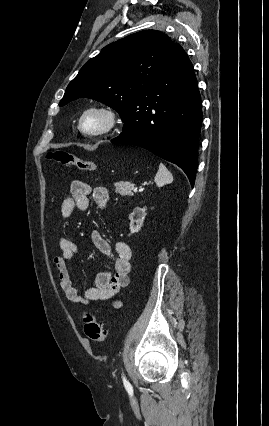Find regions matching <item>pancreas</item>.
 I'll return each mask as SVG.
<instances>
[{"label": "pancreas", "mask_w": 269, "mask_h": 426, "mask_svg": "<svg viewBox=\"0 0 269 426\" xmlns=\"http://www.w3.org/2000/svg\"><path fill=\"white\" fill-rule=\"evenodd\" d=\"M115 192L122 196H133L134 185L130 182L120 181L114 184Z\"/></svg>", "instance_id": "cf45deb5"}]
</instances>
